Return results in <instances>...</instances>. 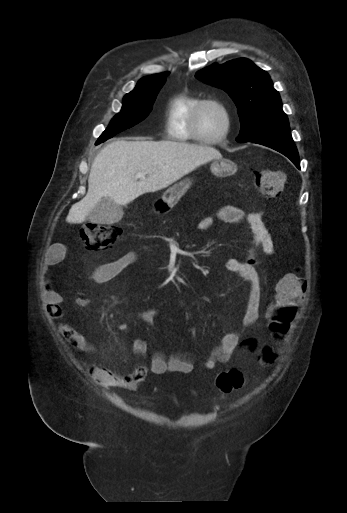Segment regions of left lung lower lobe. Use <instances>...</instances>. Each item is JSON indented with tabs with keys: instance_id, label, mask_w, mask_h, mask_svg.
I'll list each match as a JSON object with an SVG mask.
<instances>
[{
	"instance_id": "0a47b994",
	"label": "left lung lower lobe",
	"mask_w": 347,
	"mask_h": 513,
	"mask_svg": "<svg viewBox=\"0 0 347 513\" xmlns=\"http://www.w3.org/2000/svg\"><path fill=\"white\" fill-rule=\"evenodd\" d=\"M250 142L270 147L288 157L300 169L298 151L294 145L290 132L269 134Z\"/></svg>"
}]
</instances>
